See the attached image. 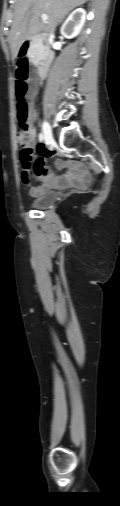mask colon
Returning a JSON list of instances; mask_svg holds the SVG:
<instances>
[{
    "label": "colon",
    "instance_id": "5ec220e1",
    "mask_svg": "<svg viewBox=\"0 0 120 506\" xmlns=\"http://www.w3.org/2000/svg\"><path fill=\"white\" fill-rule=\"evenodd\" d=\"M19 50L16 49L14 51V58L18 60V69H17V83H16V96H17V119L18 123L21 126V130L17 133L16 139L17 142L21 146L20 150V160L22 162V167L32 158L33 155V142L35 140L33 133L31 131L32 124L30 118V110L29 103L27 100V95L29 93L30 87L27 83L28 75H29V56L26 58H21L19 56Z\"/></svg>",
    "mask_w": 120,
    "mask_h": 506
}]
</instances>
